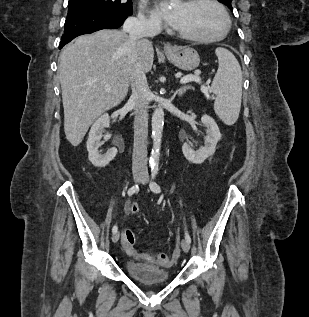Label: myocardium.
Returning <instances> with one entry per match:
<instances>
[{"label":"myocardium","mask_w":309,"mask_h":317,"mask_svg":"<svg viewBox=\"0 0 309 317\" xmlns=\"http://www.w3.org/2000/svg\"><path fill=\"white\" fill-rule=\"evenodd\" d=\"M187 3H209L213 6H215L218 11L220 12L222 18H223V28L221 32L215 36L211 37H202V36H194L185 34L179 31H176V34L187 41L196 42V43H214L223 40L226 38V36L229 34L231 29V19L226 11L225 7L218 1V0H187Z\"/></svg>","instance_id":"1"}]
</instances>
